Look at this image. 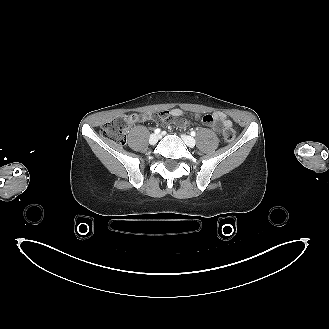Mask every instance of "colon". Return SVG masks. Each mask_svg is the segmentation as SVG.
Listing matches in <instances>:
<instances>
[{
	"label": "colon",
	"instance_id": "colon-1",
	"mask_svg": "<svg viewBox=\"0 0 329 329\" xmlns=\"http://www.w3.org/2000/svg\"><path fill=\"white\" fill-rule=\"evenodd\" d=\"M132 121L133 117L128 115L111 119L102 125L101 135L105 139L123 145L126 142L127 126ZM223 138L226 142L233 141L235 139V131L233 129H225Z\"/></svg>",
	"mask_w": 329,
	"mask_h": 329
}]
</instances>
